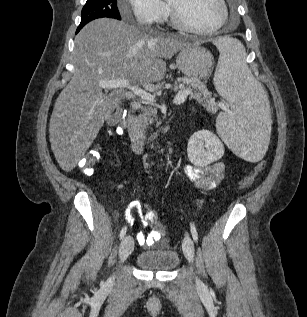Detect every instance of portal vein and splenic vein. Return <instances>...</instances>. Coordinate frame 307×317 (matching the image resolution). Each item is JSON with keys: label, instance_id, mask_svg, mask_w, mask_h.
<instances>
[{"label": "portal vein and splenic vein", "instance_id": "portal-vein-and-splenic-vein-1", "mask_svg": "<svg viewBox=\"0 0 307 317\" xmlns=\"http://www.w3.org/2000/svg\"><path fill=\"white\" fill-rule=\"evenodd\" d=\"M99 86L102 89H107V90L115 89V88H127L131 91V93H133L134 95H137L142 100H145L151 103L155 102V97L153 95H151L150 93H148L147 91L141 88L131 86L129 81L127 80L120 79V80L100 81ZM181 88L182 89L178 91V93L176 94L173 100V103L176 105L183 103L186 100L188 94L191 92L189 88L185 89L182 86Z\"/></svg>", "mask_w": 307, "mask_h": 317}]
</instances>
